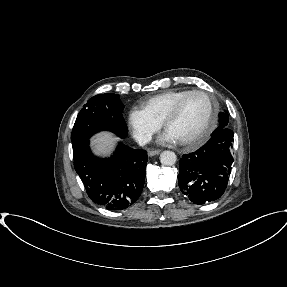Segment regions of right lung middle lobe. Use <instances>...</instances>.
I'll return each instance as SVG.
<instances>
[{"label":"right lung middle lobe","instance_id":"obj_1","mask_svg":"<svg viewBox=\"0 0 287 287\" xmlns=\"http://www.w3.org/2000/svg\"><path fill=\"white\" fill-rule=\"evenodd\" d=\"M124 105L117 94H98L88 100L79 112L72 129L71 141L75 149L93 134L107 130L121 138L127 136V126L122 111Z\"/></svg>","mask_w":287,"mask_h":287}]
</instances>
